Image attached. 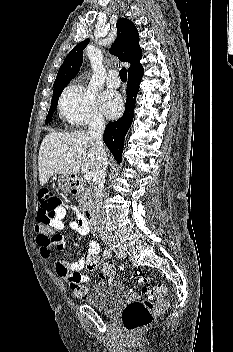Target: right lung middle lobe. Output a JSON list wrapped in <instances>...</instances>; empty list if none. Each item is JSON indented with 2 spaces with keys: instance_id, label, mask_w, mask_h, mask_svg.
<instances>
[{
  "instance_id": "obj_1",
  "label": "right lung middle lobe",
  "mask_w": 233,
  "mask_h": 352,
  "mask_svg": "<svg viewBox=\"0 0 233 352\" xmlns=\"http://www.w3.org/2000/svg\"><path fill=\"white\" fill-rule=\"evenodd\" d=\"M64 88L65 87H59V88H55L53 90V97H52V100H51V107L49 109L48 115H47L46 120H45L46 123L50 122V120H51V118L53 116L54 110L57 107L58 99H59V97L61 95V92L63 91Z\"/></svg>"
}]
</instances>
